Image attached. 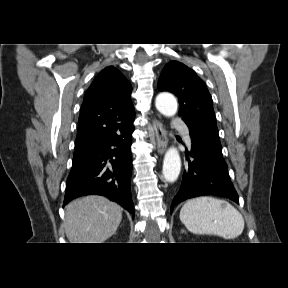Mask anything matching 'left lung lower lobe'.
Wrapping results in <instances>:
<instances>
[{"label": "left lung lower lobe", "mask_w": 288, "mask_h": 288, "mask_svg": "<svg viewBox=\"0 0 288 288\" xmlns=\"http://www.w3.org/2000/svg\"><path fill=\"white\" fill-rule=\"evenodd\" d=\"M191 153L194 161L184 171L181 187L174 197V206L186 199L202 195H218L238 203L239 198L228 174V166L222 156V148L200 135L190 132ZM188 155V154H187Z\"/></svg>", "instance_id": "1"}]
</instances>
